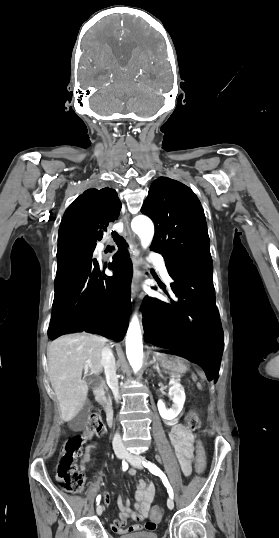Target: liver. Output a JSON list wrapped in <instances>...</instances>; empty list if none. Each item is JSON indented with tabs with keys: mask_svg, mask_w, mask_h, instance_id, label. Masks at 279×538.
<instances>
[{
	"mask_svg": "<svg viewBox=\"0 0 279 538\" xmlns=\"http://www.w3.org/2000/svg\"><path fill=\"white\" fill-rule=\"evenodd\" d=\"M105 342L106 338L92 334H67L49 344L48 374L64 422L73 420L86 402L88 386L82 378L83 370L88 368L97 376L102 372Z\"/></svg>",
	"mask_w": 279,
	"mask_h": 538,
	"instance_id": "liver-1",
	"label": "liver"
}]
</instances>
